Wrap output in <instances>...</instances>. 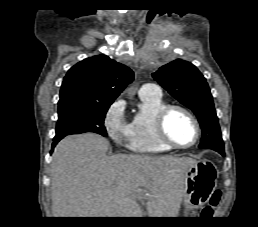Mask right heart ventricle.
<instances>
[{
  "label": "right heart ventricle",
  "mask_w": 258,
  "mask_h": 227,
  "mask_svg": "<svg viewBox=\"0 0 258 227\" xmlns=\"http://www.w3.org/2000/svg\"><path fill=\"white\" fill-rule=\"evenodd\" d=\"M138 110L129 123L127 147L136 153H164L171 147L162 143L156 134L155 117L164 106L162 96L139 94Z\"/></svg>",
  "instance_id": "e07e8e85"
}]
</instances>
